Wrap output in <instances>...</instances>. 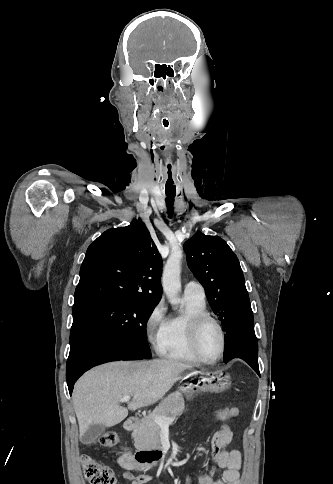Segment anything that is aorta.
Wrapping results in <instances>:
<instances>
[{
	"instance_id": "obj_1",
	"label": "aorta",
	"mask_w": 333,
	"mask_h": 484,
	"mask_svg": "<svg viewBox=\"0 0 333 484\" xmlns=\"http://www.w3.org/2000/svg\"><path fill=\"white\" fill-rule=\"evenodd\" d=\"M182 257L183 254L180 248L173 249L163 269V291L172 305L179 302L178 295L181 291L180 273Z\"/></svg>"
}]
</instances>
